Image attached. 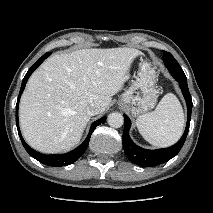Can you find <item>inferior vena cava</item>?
<instances>
[{"mask_svg":"<svg viewBox=\"0 0 213 213\" xmlns=\"http://www.w3.org/2000/svg\"><path fill=\"white\" fill-rule=\"evenodd\" d=\"M86 112L88 115L94 116L101 112V108L97 104L91 103L87 106Z\"/></svg>","mask_w":213,"mask_h":213,"instance_id":"obj_1","label":"inferior vena cava"}]
</instances>
